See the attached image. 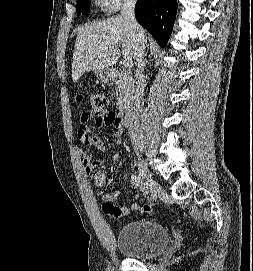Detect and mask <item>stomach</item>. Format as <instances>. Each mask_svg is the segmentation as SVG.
<instances>
[{
  "label": "stomach",
  "mask_w": 253,
  "mask_h": 271,
  "mask_svg": "<svg viewBox=\"0 0 253 271\" xmlns=\"http://www.w3.org/2000/svg\"><path fill=\"white\" fill-rule=\"evenodd\" d=\"M95 74L102 83H113L115 78L113 76V73L110 69H99L95 70Z\"/></svg>",
  "instance_id": "obj_1"
}]
</instances>
